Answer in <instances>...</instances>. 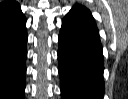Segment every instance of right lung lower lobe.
Returning a JSON list of instances; mask_svg holds the SVG:
<instances>
[{"mask_svg": "<svg viewBox=\"0 0 128 99\" xmlns=\"http://www.w3.org/2000/svg\"><path fill=\"white\" fill-rule=\"evenodd\" d=\"M26 19L19 4L0 14V99H24Z\"/></svg>", "mask_w": 128, "mask_h": 99, "instance_id": "right-lung-lower-lobe-1", "label": "right lung lower lobe"}]
</instances>
